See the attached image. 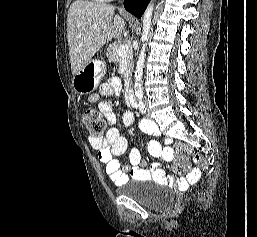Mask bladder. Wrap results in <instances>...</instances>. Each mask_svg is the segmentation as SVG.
Listing matches in <instances>:
<instances>
[{"label": "bladder", "mask_w": 257, "mask_h": 237, "mask_svg": "<svg viewBox=\"0 0 257 237\" xmlns=\"http://www.w3.org/2000/svg\"><path fill=\"white\" fill-rule=\"evenodd\" d=\"M138 183H151L149 181L138 180L136 182H126L121 188V195L128 197L135 202L149 208H158L170 202L172 197L165 190H151L141 187Z\"/></svg>", "instance_id": "obj_1"}]
</instances>
